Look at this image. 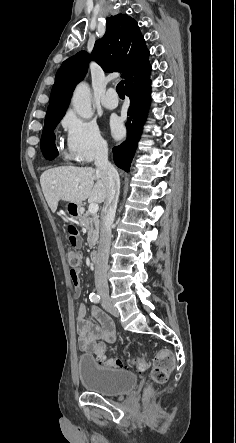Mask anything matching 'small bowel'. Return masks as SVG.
I'll list each match as a JSON object with an SVG mask.
<instances>
[{
  "label": "small bowel",
  "mask_w": 236,
  "mask_h": 443,
  "mask_svg": "<svg viewBox=\"0 0 236 443\" xmlns=\"http://www.w3.org/2000/svg\"><path fill=\"white\" fill-rule=\"evenodd\" d=\"M80 242L78 241L77 244ZM78 281L74 284V296L81 295V286L79 280V269L76 271ZM93 319L99 324L95 325L87 318V307L81 304L77 308V332L79 335V346L85 351L92 352L94 346L99 340L106 343H114L116 334L111 318L99 308L92 306L90 308Z\"/></svg>",
  "instance_id": "1"
}]
</instances>
